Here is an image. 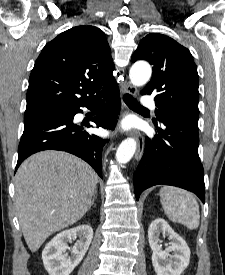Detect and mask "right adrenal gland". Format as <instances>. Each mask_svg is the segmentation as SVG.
Segmentation results:
<instances>
[{"label":"right adrenal gland","mask_w":225,"mask_h":275,"mask_svg":"<svg viewBox=\"0 0 225 275\" xmlns=\"http://www.w3.org/2000/svg\"><path fill=\"white\" fill-rule=\"evenodd\" d=\"M96 194H97V190L95 191L94 195H93V198H92V201H91V204H90V208L92 205H94V202H95V199H96Z\"/></svg>","instance_id":"right-adrenal-gland-1"}]
</instances>
